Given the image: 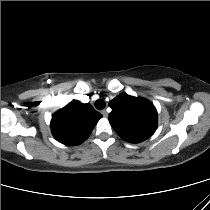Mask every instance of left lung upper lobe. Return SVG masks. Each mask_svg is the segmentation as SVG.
Listing matches in <instances>:
<instances>
[{"label": "left lung upper lobe", "instance_id": "5c2ea615", "mask_svg": "<svg viewBox=\"0 0 210 210\" xmlns=\"http://www.w3.org/2000/svg\"><path fill=\"white\" fill-rule=\"evenodd\" d=\"M109 122L125 141L137 143L151 137L157 127V111L151 102L120 94L109 102Z\"/></svg>", "mask_w": 210, "mask_h": 210}]
</instances>
